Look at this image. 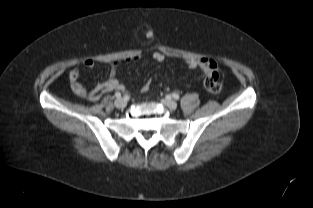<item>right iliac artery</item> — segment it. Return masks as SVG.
Wrapping results in <instances>:
<instances>
[{"label": "right iliac artery", "instance_id": "1", "mask_svg": "<svg viewBox=\"0 0 313 208\" xmlns=\"http://www.w3.org/2000/svg\"><path fill=\"white\" fill-rule=\"evenodd\" d=\"M121 96H122V94H121L120 92H116V93H115V97H116V98H121Z\"/></svg>", "mask_w": 313, "mask_h": 208}]
</instances>
